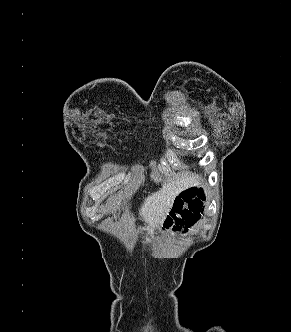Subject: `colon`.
Segmentation results:
<instances>
[{"mask_svg": "<svg viewBox=\"0 0 291 332\" xmlns=\"http://www.w3.org/2000/svg\"><path fill=\"white\" fill-rule=\"evenodd\" d=\"M204 203L205 194L200 190L194 193L181 192L165 220L164 227L181 231L193 226L201 217Z\"/></svg>", "mask_w": 291, "mask_h": 332, "instance_id": "colon-1", "label": "colon"}]
</instances>
